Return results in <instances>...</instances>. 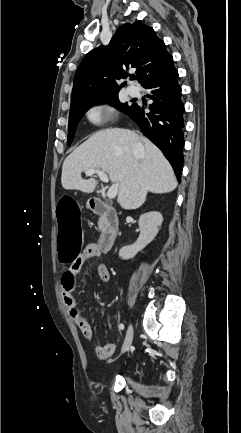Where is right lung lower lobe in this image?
Instances as JSON below:
<instances>
[{
  "instance_id": "1",
  "label": "right lung lower lobe",
  "mask_w": 241,
  "mask_h": 433,
  "mask_svg": "<svg viewBox=\"0 0 241 433\" xmlns=\"http://www.w3.org/2000/svg\"><path fill=\"white\" fill-rule=\"evenodd\" d=\"M142 86L151 93L148 96L153 100L149 106L150 112L134 103L127 115L137 123L143 134L161 149L180 181L183 168L185 109L178 83V72L173 62Z\"/></svg>"
}]
</instances>
